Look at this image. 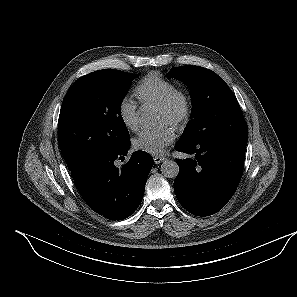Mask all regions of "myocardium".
Here are the masks:
<instances>
[{
	"instance_id": "myocardium-1",
	"label": "myocardium",
	"mask_w": 297,
	"mask_h": 297,
	"mask_svg": "<svg viewBox=\"0 0 297 297\" xmlns=\"http://www.w3.org/2000/svg\"><path fill=\"white\" fill-rule=\"evenodd\" d=\"M168 114L170 123L176 129H183L192 114V102L186 91L175 88L158 105Z\"/></svg>"
}]
</instances>
